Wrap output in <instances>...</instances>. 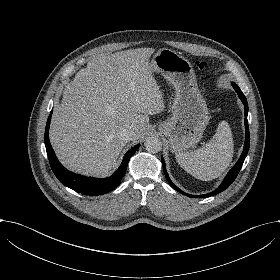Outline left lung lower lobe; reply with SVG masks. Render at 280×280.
Listing matches in <instances>:
<instances>
[{
	"instance_id": "0a47b994",
	"label": "left lung lower lobe",
	"mask_w": 280,
	"mask_h": 280,
	"mask_svg": "<svg viewBox=\"0 0 280 280\" xmlns=\"http://www.w3.org/2000/svg\"><path fill=\"white\" fill-rule=\"evenodd\" d=\"M232 86L233 88L235 89V91L237 92L239 98L241 99V101L243 102L244 104V109H245V128H246V139H245V144H244V149H243V152L241 154V157L239 158V160L237 161V163L234 165V167L229 171V173L227 174V176L225 177L223 183L219 186L218 189H216L214 192H211V193H208V194H205V195H190V194H187L183 191H181L178 187H176L172 181L170 180L168 174H167V171H166V167H165V162L162 158V164H163V171H164V174L169 182V184L175 189L177 190L178 192L188 196V197H193V198H203V197H208V196H212V195H216L220 192H222L223 190H225L236 178V176L238 175L242 165H243V162L247 156V153H248V150H249V142H250V135H249V127H248V121H247V114H248V103H247V100H246V97L244 96V94L242 93V91L240 90V88L235 84V83H232Z\"/></svg>"
}]
</instances>
